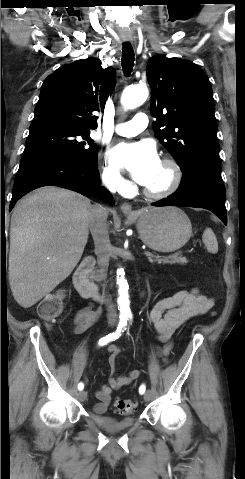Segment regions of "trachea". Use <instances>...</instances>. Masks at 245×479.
Returning <instances> with one entry per match:
<instances>
[{
    "mask_svg": "<svg viewBox=\"0 0 245 479\" xmlns=\"http://www.w3.org/2000/svg\"><path fill=\"white\" fill-rule=\"evenodd\" d=\"M134 51L129 42L123 43L122 49V68L124 73L128 76L130 75L132 68L134 66Z\"/></svg>",
    "mask_w": 245,
    "mask_h": 479,
    "instance_id": "1",
    "label": "trachea"
}]
</instances>
